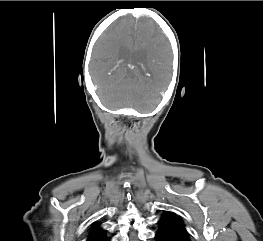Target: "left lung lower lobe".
<instances>
[{"label":"left lung lower lobe","instance_id":"left-lung-lower-lobe-1","mask_svg":"<svg viewBox=\"0 0 263 241\" xmlns=\"http://www.w3.org/2000/svg\"><path fill=\"white\" fill-rule=\"evenodd\" d=\"M158 225L159 230L155 236L157 241H190L188 233L172 224L160 219Z\"/></svg>","mask_w":263,"mask_h":241}]
</instances>
